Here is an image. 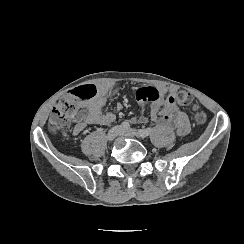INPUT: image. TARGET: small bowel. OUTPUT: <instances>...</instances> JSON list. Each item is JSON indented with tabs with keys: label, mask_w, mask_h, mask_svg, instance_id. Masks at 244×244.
Wrapping results in <instances>:
<instances>
[{
	"label": "small bowel",
	"mask_w": 244,
	"mask_h": 244,
	"mask_svg": "<svg viewBox=\"0 0 244 244\" xmlns=\"http://www.w3.org/2000/svg\"><path fill=\"white\" fill-rule=\"evenodd\" d=\"M96 87V94L87 100L88 112L78 120L73 128V134L79 135L87 125H108L115 121L113 112H103L105 105L119 93V88L110 82H103ZM80 88V87H79ZM175 90L165 86L143 87L136 92V98L142 110L148 108L149 118L164 129L175 132L178 136H186L190 132V121L187 114L172 101ZM120 107L118 106V110ZM147 117L141 113L133 121L144 123Z\"/></svg>",
	"instance_id": "1"
}]
</instances>
